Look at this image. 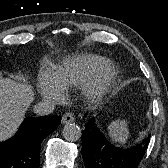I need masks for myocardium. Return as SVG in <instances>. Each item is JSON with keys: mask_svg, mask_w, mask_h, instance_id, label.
<instances>
[{"mask_svg": "<svg viewBox=\"0 0 168 168\" xmlns=\"http://www.w3.org/2000/svg\"><path fill=\"white\" fill-rule=\"evenodd\" d=\"M118 76L117 69L107 64L104 68L84 86V95L93 105L100 104Z\"/></svg>", "mask_w": 168, "mask_h": 168, "instance_id": "f54148a6", "label": "myocardium"}]
</instances>
